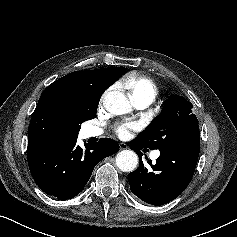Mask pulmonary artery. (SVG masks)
<instances>
[{
  "instance_id": "obj_1",
  "label": "pulmonary artery",
  "mask_w": 237,
  "mask_h": 237,
  "mask_svg": "<svg viewBox=\"0 0 237 237\" xmlns=\"http://www.w3.org/2000/svg\"><path fill=\"white\" fill-rule=\"evenodd\" d=\"M149 104H150V102H148V101H141V102H138V103L136 104V106H137L138 108H140V109H144V108H146ZM87 132H88V135H89V136H100V135L103 134V130H102V129H100V128H98V127H94V126L88 127ZM158 156H159V152H155V153L152 154V158H153V159L157 158Z\"/></svg>"
}]
</instances>
